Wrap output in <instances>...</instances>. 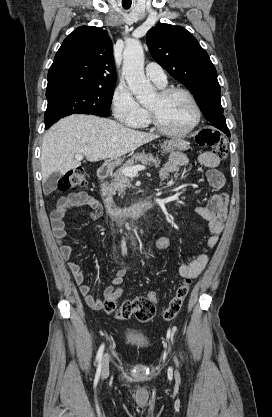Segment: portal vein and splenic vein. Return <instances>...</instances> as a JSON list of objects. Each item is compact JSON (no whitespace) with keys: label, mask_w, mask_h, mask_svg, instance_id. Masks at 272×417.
<instances>
[{"label":"portal vein and splenic vein","mask_w":272,"mask_h":417,"mask_svg":"<svg viewBox=\"0 0 272 417\" xmlns=\"http://www.w3.org/2000/svg\"><path fill=\"white\" fill-rule=\"evenodd\" d=\"M75 159L76 160H82L83 159V155L82 154H76L75 155ZM145 169H146V167L143 166V165H136V166H131V167H125V168H123L122 169V173L125 176H135L138 173V171L145 170Z\"/></svg>","instance_id":"1"}]
</instances>
